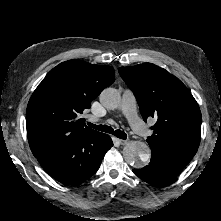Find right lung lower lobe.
Returning a JSON list of instances; mask_svg holds the SVG:
<instances>
[{
	"instance_id": "right-lung-lower-lobe-1",
	"label": "right lung lower lobe",
	"mask_w": 221,
	"mask_h": 221,
	"mask_svg": "<svg viewBox=\"0 0 221 221\" xmlns=\"http://www.w3.org/2000/svg\"><path fill=\"white\" fill-rule=\"evenodd\" d=\"M113 146L103 133L87 134L37 156L42 167L57 181L80 185L99 169L105 153Z\"/></svg>"
}]
</instances>
